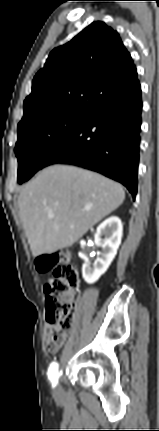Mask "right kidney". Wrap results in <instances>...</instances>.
Here are the masks:
<instances>
[{
	"mask_svg": "<svg viewBox=\"0 0 159 431\" xmlns=\"http://www.w3.org/2000/svg\"><path fill=\"white\" fill-rule=\"evenodd\" d=\"M95 239L102 250L93 264L85 262L82 266V276L88 284L95 283L107 271L117 254L122 239L120 218L112 216L102 222L96 230Z\"/></svg>",
	"mask_w": 159,
	"mask_h": 431,
	"instance_id": "right-kidney-1",
	"label": "right kidney"
}]
</instances>
